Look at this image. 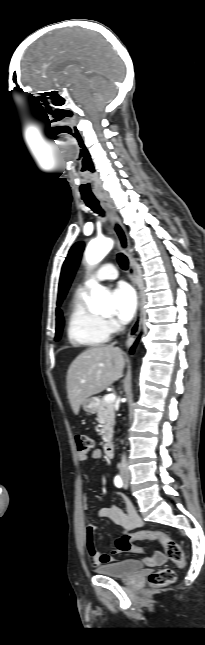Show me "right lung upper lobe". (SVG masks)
I'll return each mask as SVG.
<instances>
[{
	"label": "right lung upper lobe",
	"mask_w": 205,
	"mask_h": 645,
	"mask_svg": "<svg viewBox=\"0 0 205 645\" xmlns=\"http://www.w3.org/2000/svg\"><path fill=\"white\" fill-rule=\"evenodd\" d=\"M56 312H57V319H59L60 317H62L61 310L57 309V310H56Z\"/></svg>",
	"instance_id": "obj_1"
}]
</instances>
